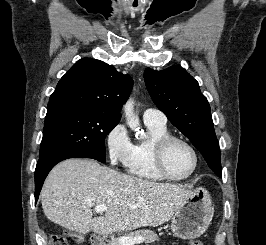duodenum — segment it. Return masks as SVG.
<instances>
[{"label": "duodenum", "mask_w": 266, "mask_h": 245, "mask_svg": "<svg viewBox=\"0 0 266 245\" xmlns=\"http://www.w3.org/2000/svg\"><path fill=\"white\" fill-rule=\"evenodd\" d=\"M92 245H105V242H101L99 238H94L92 241Z\"/></svg>", "instance_id": "410a0bca"}]
</instances>
